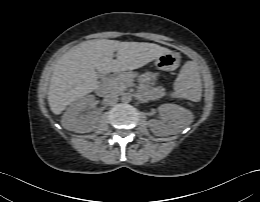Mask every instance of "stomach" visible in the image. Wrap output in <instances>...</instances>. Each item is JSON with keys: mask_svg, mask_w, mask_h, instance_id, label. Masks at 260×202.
<instances>
[{"mask_svg": "<svg viewBox=\"0 0 260 202\" xmlns=\"http://www.w3.org/2000/svg\"><path fill=\"white\" fill-rule=\"evenodd\" d=\"M179 63L180 56L175 52L164 53L155 59V66L164 71L175 70Z\"/></svg>", "mask_w": 260, "mask_h": 202, "instance_id": "stomach-1", "label": "stomach"}]
</instances>
